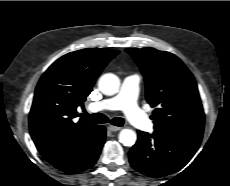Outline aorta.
I'll return each mask as SVG.
<instances>
[{
    "instance_id": "obj_1",
    "label": "aorta",
    "mask_w": 230,
    "mask_h": 186,
    "mask_svg": "<svg viewBox=\"0 0 230 186\" xmlns=\"http://www.w3.org/2000/svg\"><path fill=\"white\" fill-rule=\"evenodd\" d=\"M120 86L119 78L112 74H104L99 80V89L100 91L107 96L114 95L118 92ZM137 135L131 129H123L119 133V141L124 146H133L136 142Z\"/></svg>"
}]
</instances>
